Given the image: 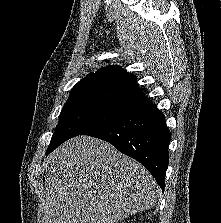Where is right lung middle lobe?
I'll use <instances>...</instances> for the list:
<instances>
[{"mask_svg":"<svg viewBox=\"0 0 221 223\" xmlns=\"http://www.w3.org/2000/svg\"><path fill=\"white\" fill-rule=\"evenodd\" d=\"M134 108L125 103L93 98L67 101L46 153L74 136L113 122Z\"/></svg>","mask_w":221,"mask_h":223,"instance_id":"right-lung-middle-lobe-1","label":"right lung middle lobe"}]
</instances>
